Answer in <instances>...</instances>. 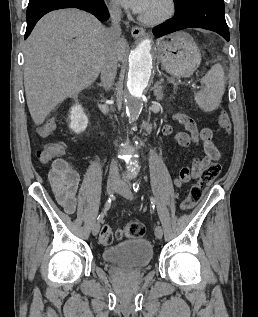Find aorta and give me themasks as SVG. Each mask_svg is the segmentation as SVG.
<instances>
[{"label":"aorta","instance_id":"obj_1","mask_svg":"<svg viewBox=\"0 0 258 317\" xmlns=\"http://www.w3.org/2000/svg\"><path fill=\"white\" fill-rule=\"evenodd\" d=\"M151 40L141 41L132 52L129 60V72L126 96V111L130 119L135 120L143 109L142 96L146 89L152 72ZM129 171L138 170V162L131 160Z\"/></svg>","mask_w":258,"mask_h":317}]
</instances>
